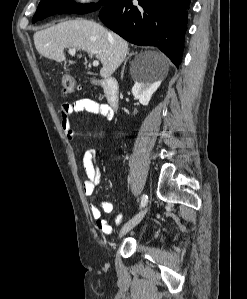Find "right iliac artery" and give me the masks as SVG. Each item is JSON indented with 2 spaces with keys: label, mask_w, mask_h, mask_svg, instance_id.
I'll return each instance as SVG.
<instances>
[{
  "label": "right iliac artery",
  "mask_w": 247,
  "mask_h": 299,
  "mask_svg": "<svg viewBox=\"0 0 247 299\" xmlns=\"http://www.w3.org/2000/svg\"><path fill=\"white\" fill-rule=\"evenodd\" d=\"M147 201H148V196L143 194L140 207L141 208L144 207L147 204Z\"/></svg>",
  "instance_id": "obj_1"
}]
</instances>
